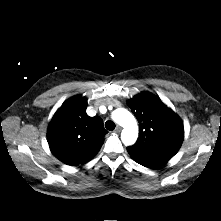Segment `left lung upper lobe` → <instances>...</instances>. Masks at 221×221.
I'll use <instances>...</instances> for the list:
<instances>
[{
	"mask_svg": "<svg viewBox=\"0 0 221 221\" xmlns=\"http://www.w3.org/2000/svg\"><path fill=\"white\" fill-rule=\"evenodd\" d=\"M139 122V138L127 147L135 161L160 159L169 161L184 139L181 119L157 96L142 92L128 101Z\"/></svg>",
	"mask_w": 221,
	"mask_h": 221,
	"instance_id": "1",
	"label": "left lung upper lobe"
}]
</instances>
